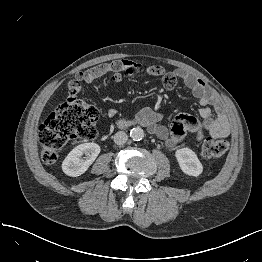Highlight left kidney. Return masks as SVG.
Segmentation results:
<instances>
[{
    "label": "left kidney",
    "instance_id": "left-kidney-1",
    "mask_svg": "<svg viewBox=\"0 0 262 262\" xmlns=\"http://www.w3.org/2000/svg\"><path fill=\"white\" fill-rule=\"evenodd\" d=\"M175 157L179 163L181 170L189 175L198 177L202 171L203 166L199 161L194 151L189 148H181L176 150Z\"/></svg>",
    "mask_w": 262,
    "mask_h": 262
}]
</instances>
